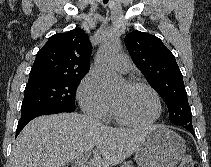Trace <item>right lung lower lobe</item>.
<instances>
[{"label": "right lung lower lobe", "instance_id": "1", "mask_svg": "<svg viewBox=\"0 0 211 167\" xmlns=\"http://www.w3.org/2000/svg\"><path fill=\"white\" fill-rule=\"evenodd\" d=\"M61 112H74V110H66V109H46V110H41L37 112H33L30 114H27L23 117L20 118L18 122V126L16 129V137L20 133V131L25 127V125L31 121L32 119L41 116V115H48V114H57Z\"/></svg>", "mask_w": 211, "mask_h": 167}]
</instances>
